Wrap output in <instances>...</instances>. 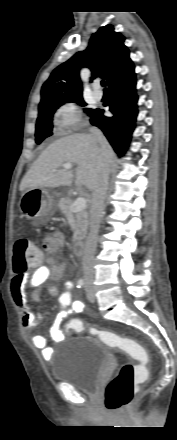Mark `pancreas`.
Listing matches in <instances>:
<instances>
[{"label":"pancreas","mask_w":177,"mask_h":440,"mask_svg":"<svg viewBox=\"0 0 177 440\" xmlns=\"http://www.w3.org/2000/svg\"><path fill=\"white\" fill-rule=\"evenodd\" d=\"M73 201L69 198H62L58 203V208L65 215L68 221L73 225L74 234L72 241L81 240L85 237L88 228V213L86 210L72 212Z\"/></svg>","instance_id":"pancreas-1"}]
</instances>
